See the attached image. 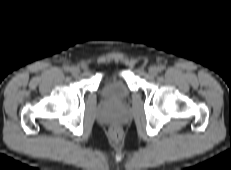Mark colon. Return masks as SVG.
I'll list each match as a JSON object with an SVG mask.
<instances>
[{"label": "colon", "instance_id": "1", "mask_svg": "<svg viewBox=\"0 0 231 170\" xmlns=\"http://www.w3.org/2000/svg\"><path fill=\"white\" fill-rule=\"evenodd\" d=\"M110 135H111L112 138L118 139L121 136V130L118 127H116V126L112 127L110 129Z\"/></svg>", "mask_w": 231, "mask_h": 170}]
</instances>
